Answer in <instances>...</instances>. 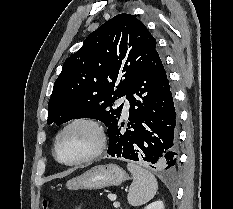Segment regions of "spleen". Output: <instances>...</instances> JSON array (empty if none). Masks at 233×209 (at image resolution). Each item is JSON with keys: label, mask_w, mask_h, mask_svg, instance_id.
Wrapping results in <instances>:
<instances>
[{"label": "spleen", "mask_w": 233, "mask_h": 209, "mask_svg": "<svg viewBox=\"0 0 233 209\" xmlns=\"http://www.w3.org/2000/svg\"><path fill=\"white\" fill-rule=\"evenodd\" d=\"M127 169L133 175V182L127 196L128 203L132 206H140L149 202L158 188L155 176L132 162L127 164Z\"/></svg>", "instance_id": "spleen-1"}]
</instances>
